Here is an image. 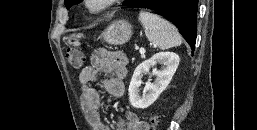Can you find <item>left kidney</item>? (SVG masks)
Masks as SVG:
<instances>
[{
    "instance_id": "1",
    "label": "left kidney",
    "mask_w": 257,
    "mask_h": 130,
    "mask_svg": "<svg viewBox=\"0 0 257 130\" xmlns=\"http://www.w3.org/2000/svg\"><path fill=\"white\" fill-rule=\"evenodd\" d=\"M180 58L173 52H160L152 58L139 64L132 76L129 85V101L134 108L145 109L153 104L159 95L167 88L176 69L178 68ZM157 63L163 64L161 70H154L152 75L156 76L154 83L147 82L145 93L139 96V87L142 84L143 73L149 72V69Z\"/></svg>"
}]
</instances>
